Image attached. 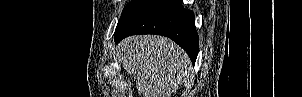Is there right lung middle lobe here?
Masks as SVG:
<instances>
[{"mask_svg": "<svg viewBox=\"0 0 302 97\" xmlns=\"http://www.w3.org/2000/svg\"><path fill=\"white\" fill-rule=\"evenodd\" d=\"M145 1L146 0H133L132 2L128 3L122 11V15L119 19L116 30H118Z\"/></svg>", "mask_w": 302, "mask_h": 97, "instance_id": "right-lung-middle-lobe-1", "label": "right lung middle lobe"}]
</instances>
